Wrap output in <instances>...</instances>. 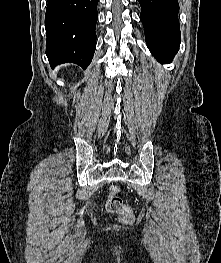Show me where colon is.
<instances>
[{"label":"colon","instance_id":"5ec220e1","mask_svg":"<svg viewBox=\"0 0 221 263\" xmlns=\"http://www.w3.org/2000/svg\"><path fill=\"white\" fill-rule=\"evenodd\" d=\"M120 193L121 188L118 185H111L109 187L106 210L117 214L123 223L130 224L134 220V215L131 207L123 203Z\"/></svg>","mask_w":221,"mask_h":263}]
</instances>
